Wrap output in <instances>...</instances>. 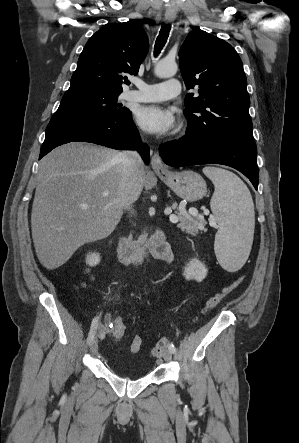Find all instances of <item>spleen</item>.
Wrapping results in <instances>:
<instances>
[{"mask_svg": "<svg viewBox=\"0 0 299 443\" xmlns=\"http://www.w3.org/2000/svg\"><path fill=\"white\" fill-rule=\"evenodd\" d=\"M215 190L210 207L219 224L214 250L220 265L229 272L239 270L246 262L253 241L255 213L252 196L234 173L216 167H205Z\"/></svg>", "mask_w": 299, "mask_h": 443, "instance_id": "obj_1", "label": "spleen"}]
</instances>
